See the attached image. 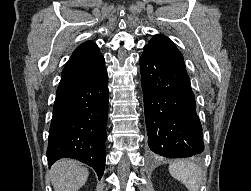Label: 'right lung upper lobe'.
Listing matches in <instances>:
<instances>
[{
    "label": "right lung upper lobe",
    "instance_id": "obj_1",
    "mask_svg": "<svg viewBox=\"0 0 251 191\" xmlns=\"http://www.w3.org/2000/svg\"><path fill=\"white\" fill-rule=\"evenodd\" d=\"M106 73L98 46L87 41L79 45L65 65L57 94L94 81Z\"/></svg>",
    "mask_w": 251,
    "mask_h": 191
}]
</instances>
